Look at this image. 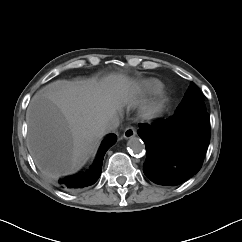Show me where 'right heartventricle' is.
<instances>
[{
  "instance_id": "right-heart-ventricle-1",
  "label": "right heart ventricle",
  "mask_w": 242,
  "mask_h": 242,
  "mask_svg": "<svg viewBox=\"0 0 242 242\" xmlns=\"http://www.w3.org/2000/svg\"><path fill=\"white\" fill-rule=\"evenodd\" d=\"M163 83L156 78H147L135 86V93L138 96H148L159 93L163 89Z\"/></svg>"
}]
</instances>
